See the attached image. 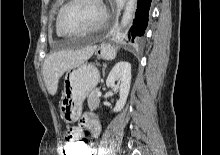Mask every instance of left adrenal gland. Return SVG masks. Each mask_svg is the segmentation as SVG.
Segmentation results:
<instances>
[{
    "label": "left adrenal gland",
    "instance_id": "left-adrenal-gland-1",
    "mask_svg": "<svg viewBox=\"0 0 220 155\" xmlns=\"http://www.w3.org/2000/svg\"><path fill=\"white\" fill-rule=\"evenodd\" d=\"M105 69H106V65L103 66V70H102L103 76L105 75Z\"/></svg>",
    "mask_w": 220,
    "mask_h": 155
}]
</instances>
